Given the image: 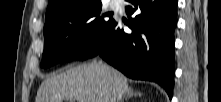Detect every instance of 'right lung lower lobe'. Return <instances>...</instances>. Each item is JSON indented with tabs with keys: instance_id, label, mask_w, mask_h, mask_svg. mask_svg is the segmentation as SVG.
<instances>
[{
	"instance_id": "1",
	"label": "right lung lower lobe",
	"mask_w": 221,
	"mask_h": 102,
	"mask_svg": "<svg viewBox=\"0 0 221 102\" xmlns=\"http://www.w3.org/2000/svg\"><path fill=\"white\" fill-rule=\"evenodd\" d=\"M131 33L114 20L76 60L96 55L133 79L160 84L172 98L175 63L176 0H127Z\"/></svg>"
}]
</instances>
